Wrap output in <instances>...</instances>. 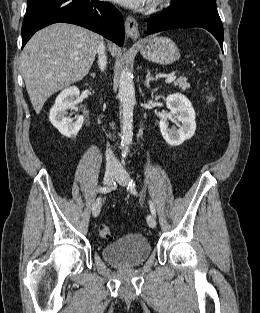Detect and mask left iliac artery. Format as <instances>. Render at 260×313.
Returning a JSON list of instances; mask_svg holds the SVG:
<instances>
[{
	"mask_svg": "<svg viewBox=\"0 0 260 313\" xmlns=\"http://www.w3.org/2000/svg\"><path fill=\"white\" fill-rule=\"evenodd\" d=\"M128 187L130 188V191L132 194H134V195L138 194L136 191L135 181L133 179H131L129 181ZM149 207H150V211H151L152 215L155 217L156 216V209H155V206H154L152 201H149Z\"/></svg>",
	"mask_w": 260,
	"mask_h": 313,
	"instance_id": "1",
	"label": "left iliac artery"
}]
</instances>
